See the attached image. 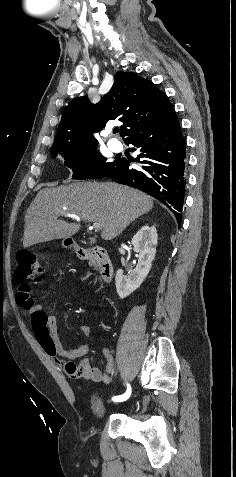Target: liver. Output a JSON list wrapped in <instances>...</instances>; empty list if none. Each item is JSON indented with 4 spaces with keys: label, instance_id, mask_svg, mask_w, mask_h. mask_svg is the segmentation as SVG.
I'll use <instances>...</instances> for the list:
<instances>
[{
    "label": "liver",
    "instance_id": "obj_1",
    "mask_svg": "<svg viewBox=\"0 0 236 477\" xmlns=\"http://www.w3.org/2000/svg\"><path fill=\"white\" fill-rule=\"evenodd\" d=\"M147 194L112 182H77L40 190L25 214L23 246L63 239L80 230V224L58 220L61 212L101 224V237L112 240L132 221L149 212Z\"/></svg>",
    "mask_w": 236,
    "mask_h": 477
}]
</instances>
